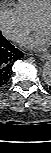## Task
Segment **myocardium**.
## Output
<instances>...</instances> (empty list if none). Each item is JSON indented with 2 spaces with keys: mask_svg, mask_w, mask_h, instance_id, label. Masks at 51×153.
<instances>
[{
  "mask_svg": "<svg viewBox=\"0 0 51 153\" xmlns=\"http://www.w3.org/2000/svg\"><path fill=\"white\" fill-rule=\"evenodd\" d=\"M51 20V6L45 9L42 13H40L35 21V24L38 28H41L42 23L45 20Z\"/></svg>",
  "mask_w": 51,
  "mask_h": 153,
  "instance_id": "1",
  "label": "myocardium"
}]
</instances>
